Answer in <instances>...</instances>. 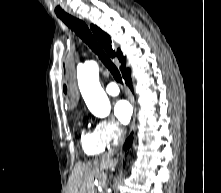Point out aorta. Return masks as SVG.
<instances>
[{"label":"aorta","mask_w":221,"mask_h":193,"mask_svg":"<svg viewBox=\"0 0 221 193\" xmlns=\"http://www.w3.org/2000/svg\"><path fill=\"white\" fill-rule=\"evenodd\" d=\"M80 92L90 110L96 117L104 118L110 114V101L99 82V67L95 61H88L77 70Z\"/></svg>","instance_id":"obj_1"}]
</instances>
